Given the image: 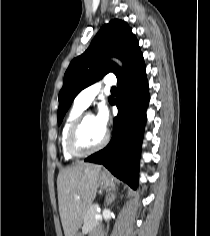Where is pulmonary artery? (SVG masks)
<instances>
[{
  "label": "pulmonary artery",
  "instance_id": "1",
  "mask_svg": "<svg viewBox=\"0 0 210 236\" xmlns=\"http://www.w3.org/2000/svg\"><path fill=\"white\" fill-rule=\"evenodd\" d=\"M116 84V78L114 75L105 76L100 82H97L84 90H82L76 97L75 103L79 106L86 108L94 100L96 95L99 93L103 85L107 87H112Z\"/></svg>",
  "mask_w": 210,
  "mask_h": 236
}]
</instances>
